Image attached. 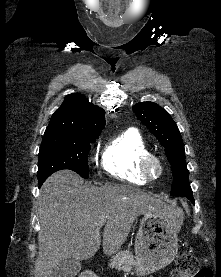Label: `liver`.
<instances>
[{
	"instance_id": "6515ba94",
	"label": "liver",
	"mask_w": 221,
	"mask_h": 277,
	"mask_svg": "<svg viewBox=\"0 0 221 277\" xmlns=\"http://www.w3.org/2000/svg\"><path fill=\"white\" fill-rule=\"evenodd\" d=\"M170 211L162 200L130 186L84 184L75 172L52 174L39 194V255L35 277H50L63 260H87L101 244L99 222L106 219L103 251L116 253L135 219L149 212Z\"/></svg>"
}]
</instances>
